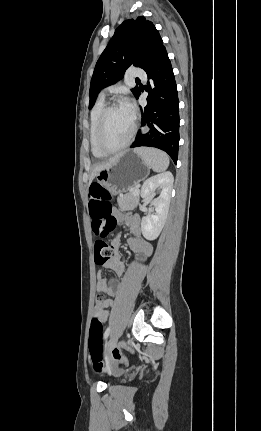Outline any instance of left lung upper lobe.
<instances>
[{"instance_id":"5c2ea615","label":"left lung upper lobe","mask_w":261,"mask_h":431,"mask_svg":"<svg viewBox=\"0 0 261 431\" xmlns=\"http://www.w3.org/2000/svg\"><path fill=\"white\" fill-rule=\"evenodd\" d=\"M161 47L159 32L145 17L124 21L96 63L90 83L89 109L101 89L120 80L130 66L145 69ZM138 91V87L132 89L135 96Z\"/></svg>"}]
</instances>
